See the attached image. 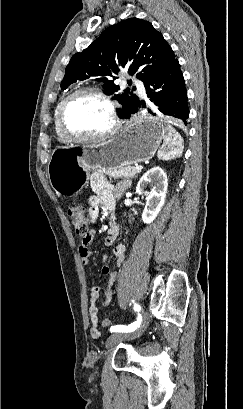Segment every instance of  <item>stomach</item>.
Returning a JSON list of instances; mask_svg holds the SVG:
<instances>
[{
  "label": "stomach",
  "instance_id": "0dacf381",
  "mask_svg": "<svg viewBox=\"0 0 243 409\" xmlns=\"http://www.w3.org/2000/svg\"><path fill=\"white\" fill-rule=\"evenodd\" d=\"M165 135L157 118L131 119L101 143L57 147L48 163V177L57 195H73L85 186L94 170H113L151 159Z\"/></svg>",
  "mask_w": 243,
  "mask_h": 409
}]
</instances>
